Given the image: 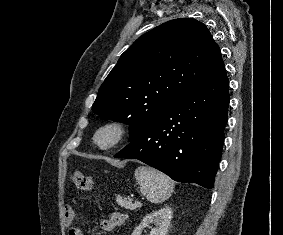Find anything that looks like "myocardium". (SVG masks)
<instances>
[{"instance_id": "obj_1", "label": "myocardium", "mask_w": 283, "mask_h": 235, "mask_svg": "<svg viewBox=\"0 0 283 235\" xmlns=\"http://www.w3.org/2000/svg\"><path fill=\"white\" fill-rule=\"evenodd\" d=\"M128 135L126 124L119 119H109L94 132L93 143L101 150H110L121 144Z\"/></svg>"}]
</instances>
